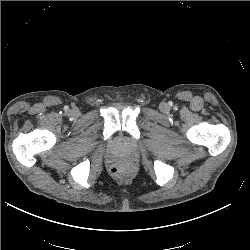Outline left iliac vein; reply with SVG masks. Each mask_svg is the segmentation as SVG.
<instances>
[{
  "label": "left iliac vein",
  "mask_w": 250,
  "mask_h": 250,
  "mask_svg": "<svg viewBox=\"0 0 250 250\" xmlns=\"http://www.w3.org/2000/svg\"><path fill=\"white\" fill-rule=\"evenodd\" d=\"M161 109H162L163 111H166V110H167V105H166V104H162Z\"/></svg>",
  "instance_id": "obj_1"
}]
</instances>
